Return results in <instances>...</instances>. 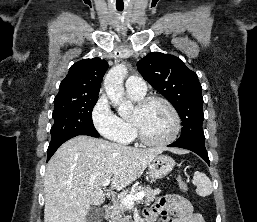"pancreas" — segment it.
Wrapping results in <instances>:
<instances>
[{
  "instance_id": "cf45deb5",
  "label": "pancreas",
  "mask_w": 257,
  "mask_h": 222,
  "mask_svg": "<svg viewBox=\"0 0 257 222\" xmlns=\"http://www.w3.org/2000/svg\"><path fill=\"white\" fill-rule=\"evenodd\" d=\"M138 192H144L145 204L149 205L154 201L155 197L160 193L159 189H152L151 187H138L131 191L129 195H135ZM129 207L124 205L120 200L114 202L109 222H132L130 215H125Z\"/></svg>"
}]
</instances>
